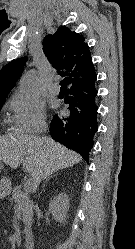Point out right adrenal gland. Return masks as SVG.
Returning <instances> with one entry per match:
<instances>
[{
    "mask_svg": "<svg viewBox=\"0 0 135 249\" xmlns=\"http://www.w3.org/2000/svg\"><path fill=\"white\" fill-rule=\"evenodd\" d=\"M50 178H51V177L47 178V179L45 180L44 184H45Z\"/></svg>",
    "mask_w": 135,
    "mask_h": 249,
    "instance_id": "obj_1",
    "label": "right adrenal gland"
}]
</instances>
